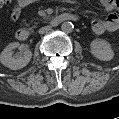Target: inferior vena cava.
<instances>
[{
    "label": "inferior vena cava",
    "instance_id": "obj_1",
    "mask_svg": "<svg viewBox=\"0 0 119 119\" xmlns=\"http://www.w3.org/2000/svg\"><path fill=\"white\" fill-rule=\"evenodd\" d=\"M50 30H51V26H45V27H42V28L39 29V33L44 34V33H47Z\"/></svg>",
    "mask_w": 119,
    "mask_h": 119
}]
</instances>
